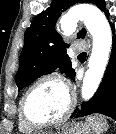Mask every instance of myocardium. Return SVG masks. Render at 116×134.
<instances>
[{"label":"myocardium","mask_w":116,"mask_h":134,"mask_svg":"<svg viewBox=\"0 0 116 134\" xmlns=\"http://www.w3.org/2000/svg\"><path fill=\"white\" fill-rule=\"evenodd\" d=\"M48 81L57 82L66 89L67 94H68V106H67V109L65 110V112L61 116H59L55 119H51V120H47V121H35V120L31 119L26 113V109H25L26 99H27L29 93L36 86H38L44 82H48ZM74 106H75V94H74L72 88L70 87V85L61 76L55 75V74H49V75H45V76H42L41 78L37 79L23 93L21 100H20V105H19V115L28 126L33 127V128H45V127L54 126V125H57V124H60L64 121H66L68 119V117L71 115V113L74 109Z\"/></svg>","instance_id":"f54148a6"}]
</instances>
